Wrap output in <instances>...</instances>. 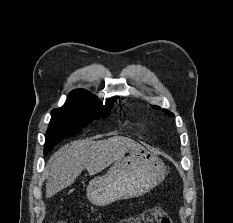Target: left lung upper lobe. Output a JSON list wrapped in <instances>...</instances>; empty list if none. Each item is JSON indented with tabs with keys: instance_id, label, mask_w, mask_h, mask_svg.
<instances>
[{
	"instance_id": "obj_1",
	"label": "left lung upper lobe",
	"mask_w": 233,
	"mask_h": 223,
	"mask_svg": "<svg viewBox=\"0 0 233 223\" xmlns=\"http://www.w3.org/2000/svg\"><path fill=\"white\" fill-rule=\"evenodd\" d=\"M152 107H154V108H156V109H160V108L157 107V106H152ZM163 111H164L166 114L170 115V116H174L173 113H171L170 111H168V110H166V109H164Z\"/></svg>"
}]
</instances>
